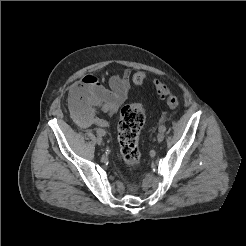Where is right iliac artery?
Here are the masks:
<instances>
[{"instance_id":"right-iliac-artery-1","label":"right iliac artery","mask_w":246,"mask_h":246,"mask_svg":"<svg viewBox=\"0 0 246 246\" xmlns=\"http://www.w3.org/2000/svg\"><path fill=\"white\" fill-rule=\"evenodd\" d=\"M96 133L98 136H104L105 135V131L103 129H97Z\"/></svg>"}]
</instances>
